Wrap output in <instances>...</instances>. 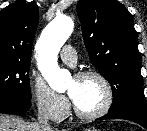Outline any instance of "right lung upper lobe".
Returning a JSON list of instances; mask_svg holds the SVG:
<instances>
[{
	"instance_id": "1",
	"label": "right lung upper lobe",
	"mask_w": 147,
	"mask_h": 131,
	"mask_svg": "<svg viewBox=\"0 0 147 131\" xmlns=\"http://www.w3.org/2000/svg\"><path fill=\"white\" fill-rule=\"evenodd\" d=\"M39 21L37 4L21 0L0 12V60L30 62Z\"/></svg>"
}]
</instances>
